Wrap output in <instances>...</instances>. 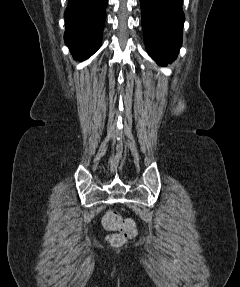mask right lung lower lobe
<instances>
[{"label":"right lung lower lobe","instance_id":"right-lung-lower-lobe-1","mask_svg":"<svg viewBox=\"0 0 240 287\" xmlns=\"http://www.w3.org/2000/svg\"><path fill=\"white\" fill-rule=\"evenodd\" d=\"M107 0H69L64 13V40L73 56L82 61L101 45Z\"/></svg>","mask_w":240,"mask_h":287}]
</instances>
